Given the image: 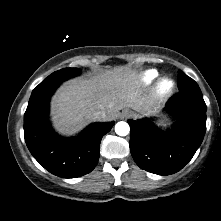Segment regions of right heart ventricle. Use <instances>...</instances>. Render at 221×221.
<instances>
[{
	"label": "right heart ventricle",
	"mask_w": 221,
	"mask_h": 221,
	"mask_svg": "<svg viewBox=\"0 0 221 221\" xmlns=\"http://www.w3.org/2000/svg\"><path fill=\"white\" fill-rule=\"evenodd\" d=\"M156 76V73L152 70H149L147 72H145L144 76H143V81L145 83H149L151 82Z\"/></svg>",
	"instance_id": "obj_1"
}]
</instances>
